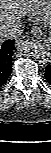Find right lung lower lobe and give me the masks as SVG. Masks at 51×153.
Masks as SVG:
<instances>
[{
    "label": "right lung lower lobe",
    "mask_w": 51,
    "mask_h": 153,
    "mask_svg": "<svg viewBox=\"0 0 51 153\" xmlns=\"http://www.w3.org/2000/svg\"><path fill=\"white\" fill-rule=\"evenodd\" d=\"M13 50V40L0 41V87L7 82L11 73Z\"/></svg>",
    "instance_id": "1"
}]
</instances>
